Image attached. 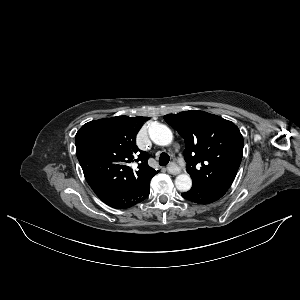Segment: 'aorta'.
I'll return each instance as SVG.
<instances>
[{
  "mask_svg": "<svg viewBox=\"0 0 300 300\" xmlns=\"http://www.w3.org/2000/svg\"><path fill=\"white\" fill-rule=\"evenodd\" d=\"M151 140L160 146L169 145L172 142V131L163 124H153L149 129ZM175 186L181 192H186L192 187V179L188 174H180L175 179Z\"/></svg>",
  "mask_w": 300,
  "mask_h": 300,
  "instance_id": "aorta-1",
  "label": "aorta"
}]
</instances>
